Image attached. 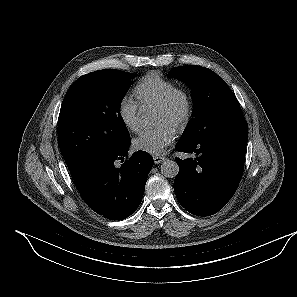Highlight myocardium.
Listing matches in <instances>:
<instances>
[{
	"label": "myocardium",
	"instance_id": "obj_1",
	"mask_svg": "<svg viewBox=\"0 0 297 297\" xmlns=\"http://www.w3.org/2000/svg\"><path fill=\"white\" fill-rule=\"evenodd\" d=\"M156 106L171 115L172 126L179 131L183 130L192 118V98L184 88L174 87Z\"/></svg>",
	"mask_w": 297,
	"mask_h": 297
}]
</instances>
